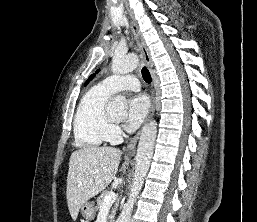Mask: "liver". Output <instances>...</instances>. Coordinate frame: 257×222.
<instances>
[{"label": "liver", "mask_w": 257, "mask_h": 222, "mask_svg": "<svg viewBox=\"0 0 257 222\" xmlns=\"http://www.w3.org/2000/svg\"><path fill=\"white\" fill-rule=\"evenodd\" d=\"M121 155L122 151L113 147H86L71 154L66 198L74 221L80 207L112 182L118 172Z\"/></svg>", "instance_id": "6515ba94"}]
</instances>
